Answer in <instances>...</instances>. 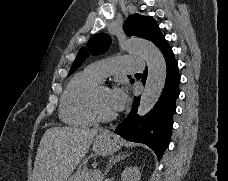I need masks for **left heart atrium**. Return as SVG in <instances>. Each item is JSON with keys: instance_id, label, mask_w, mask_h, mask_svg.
Listing matches in <instances>:
<instances>
[{"instance_id": "1", "label": "left heart atrium", "mask_w": 228, "mask_h": 181, "mask_svg": "<svg viewBox=\"0 0 228 181\" xmlns=\"http://www.w3.org/2000/svg\"><path fill=\"white\" fill-rule=\"evenodd\" d=\"M126 89L127 87L122 85L112 91L111 104L113 110H120L122 108Z\"/></svg>"}]
</instances>
